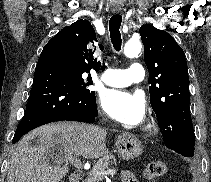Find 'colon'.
<instances>
[{
	"label": "colon",
	"mask_w": 211,
	"mask_h": 182,
	"mask_svg": "<svg viewBox=\"0 0 211 182\" xmlns=\"http://www.w3.org/2000/svg\"><path fill=\"white\" fill-rule=\"evenodd\" d=\"M167 172V165L163 161H153L149 163L144 172V177L151 182H156L158 178Z\"/></svg>",
	"instance_id": "obj_1"
}]
</instances>
